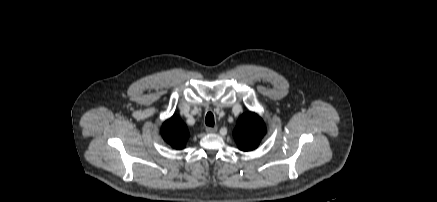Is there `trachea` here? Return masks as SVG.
<instances>
[{
  "label": "trachea",
  "instance_id": "trachea-1",
  "mask_svg": "<svg viewBox=\"0 0 437 202\" xmlns=\"http://www.w3.org/2000/svg\"><path fill=\"white\" fill-rule=\"evenodd\" d=\"M205 123L207 126L213 127L214 126V115L211 112H208L206 115Z\"/></svg>",
  "mask_w": 437,
  "mask_h": 202
}]
</instances>
